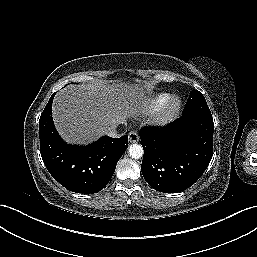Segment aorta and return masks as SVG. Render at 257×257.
Listing matches in <instances>:
<instances>
[{"instance_id": "aorta-1", "label": "aorta", "mask_w": 257, "mask_h": 257, "mask_svg": "<svg viewBox=\"0 0 257 257\" xmlns=\"http://www.w3.org/2000/svg\"><path fill=\"white\" fill-rule=\"evenodd\" d=\"M143 148L141 145L139 144H133V145H130L129 147V154H130V157L134 158V159H139L143 156Z\"/></svg>"}]
</instances>
